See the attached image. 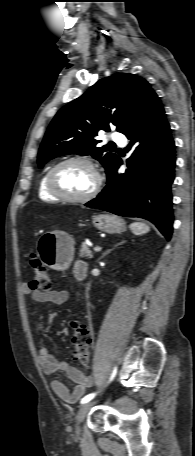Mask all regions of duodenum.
I'll return each instance as SVG.
<instances>
[{
	"label": "duodenum",
	"instance_id": "obj_1",
	"mask_svg": "<svg viewBox=\"0 0 195 456\" xmlns=\"http://www.w3.org/2000/svg\"><path fill=\"white\" fill-rule=\"evenodd\" d=\"M86 271H87V265H86V263H84L78 269V277L81 279L84 278L86 275Z\"/></svg>",
	"mask_w": 195,
	"mask_h": 456
}]
</instances>
